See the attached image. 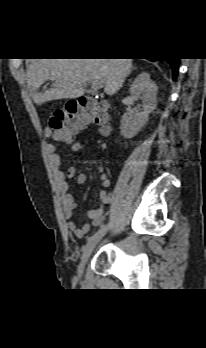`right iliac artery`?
<instances>
[{
	"label": "right iliac artery",
	"instance_id": "82829eb1",
	"mask_svg": "<svg viewBox=\"0 0 206 348\" xmlns=\"http://www.w3.org/2000/svg\"><path fill=\"white\" fill-rule=\"evenodd\" d=\"M111 203V200L107 195L103 196V204L109 205Z\"/></svg>",
	"mask_w": 206,
	"mask_h": 348
}]
</instances>
